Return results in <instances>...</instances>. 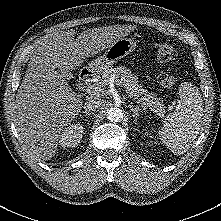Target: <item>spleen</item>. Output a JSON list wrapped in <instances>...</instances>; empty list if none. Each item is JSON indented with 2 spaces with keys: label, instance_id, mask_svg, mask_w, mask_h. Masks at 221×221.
<instances>
[{
  "label": "spleen",
  "instance_id": "spleen-1",
  "mask_svg": "<svg viewBox=\"0 0 221 221\" xmlns=\"http://www.w3.org/2000/svg\"><path fill=\"white\" fill-rule=\"evenodd\" d=\"M179 105L170 113L161 130L159 139L176 155L184 154L196 139L203 116V101L198 88L189 82L179 87Z\"/></svg>",
  "mask_w": 221,
  "mask_h": 221
}]
</instances>
